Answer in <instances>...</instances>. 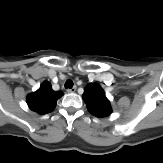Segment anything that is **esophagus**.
<instances>
[{"label":"esophagus","instance_id":"1","mask_svg":"<svg viewBox=\"0 0 163 163\" xmlns=\"http://www.w3.org/2000/svg\"><path fill=\"white\" fill-rule=\"evenodd\" d=\"M76 91V87H73L71 89H67L68 93H74Z\"/></svg>","mask_w":163,"mask_h":163}]
</instances>
